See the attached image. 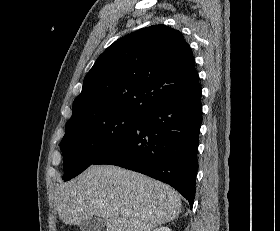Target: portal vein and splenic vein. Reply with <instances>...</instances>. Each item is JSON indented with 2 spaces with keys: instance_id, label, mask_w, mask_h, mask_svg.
<instances>
[{
  "instance_id": "1",
  "label": "portal vein and splenic vein",
  "mask_w": 280,
  "mask_h": 231,
  "mask_svg": "<svg viewBox=\"0 0 280 231\" xmlns=\"http://www.w3.org/2000/svg\"><path fill=\"white\" fill-rule=\"evenodd\" d=\"M122 215H126V211H121Z\"/></svg>"
}]
</instances>
